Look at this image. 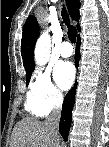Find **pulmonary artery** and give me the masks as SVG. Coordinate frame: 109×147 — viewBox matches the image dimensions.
I'll use <instances>...</instances> for the list:
<instances>
[{"instance_id":"e3ab8cb5","label":"pulmonary artery","mask_w":109,"mask_h":147,"mask_svg":"<svg viewBox=\"0 0 109 147\" xmlns=\"http://www.w3.org/2000/svg\"><path fill=\"white\" fill-rule=\"evenodd\" d=\"M59 54L64 57L68 58L73 54V47L70 42L64 41L59 46Z\"/></svg>"}]
</instances>
